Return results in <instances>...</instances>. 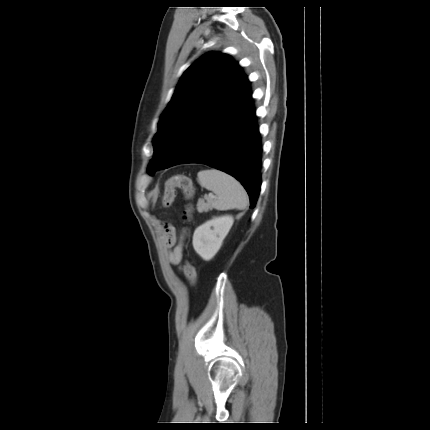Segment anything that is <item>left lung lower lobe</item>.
Masks as SVG:
<instances>
[{
	"mask_svg": "<svg viewBox=\"0 0 430 430\" xmlns=\"http://www.w3.org/2000/svg\"><path fill=\"white\" fill-rule=\"evenodd\" d=\"M261 138L251 101L237 115L225 119L207 116L193 130L188 144L161 167L202 163L224 171L246 189L254 208L261 187Z\"/></svg>",
	"mask_w": 430,
	"mask_h": 430,
	"instance_id": "1",
	"label": "left lung lower lobe"
}]
</instances>
